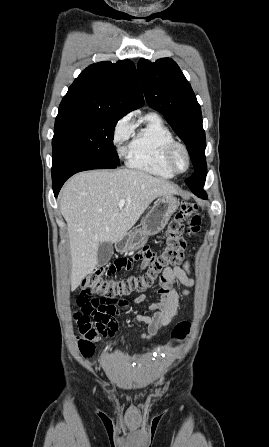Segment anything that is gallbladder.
I'll use <instances>...</instances> for the list:
<instances>
[{
	"label": "gallbladder",
	"instance_id": "1",
	"mask_svg": "<svg viewBox=\"0 0 269 447\" xmlns=\"http://www.w3.org/2000/svg\"><path fill=\"white\" fill-rule=\"evenodd\" d=\"M113 253L112 243H100L97 251L98 265H106Z\"/></svg>",
	"mask_w": 269,
	"mask_h": 447
}]
</instances>
